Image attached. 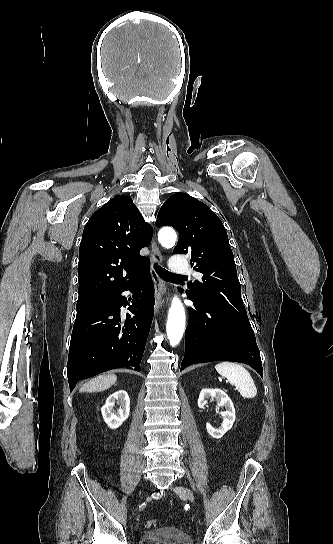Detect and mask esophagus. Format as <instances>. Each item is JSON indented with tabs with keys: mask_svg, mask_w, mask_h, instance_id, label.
<instances>
[{
	"mask_svg": "<svg viewBox=\"0 0 333 544\" xmlns=\"http://www.w3.org/2000/svg\"><path fill=\"white\" fill-rule=\"evenodd\" d=\"M151 261H152V266L150 268V275L154 284L155 313H158L165 301L166 286L164 281L159 277L154 267L155 263H158V264L162 263V254L154 238L152 239V242H151Z\"/></svg>",
	"mask_w": 333,
	"mask_h": 544,
	"instance_id": "obj_1",
	"label": "esophagus"
}]
</instances>
